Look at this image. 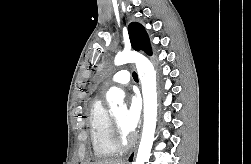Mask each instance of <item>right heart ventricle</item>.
Here are the masks:
<instances>
[{
  "instance_id": "e07e8e85",
  "label": "right heart ventricle",
  "mask_w": 251,
  "mask_h": 164,
  "mask_svg": "<svg viewBox=\"0 0 251 164\" xmlns=\"http://www.w3.org/2000/svg\"><path fill=\"white\" fill-rule=\"evenodd\" d=\"M88 124L95 155L99 158L116 155L119 148L114 141L111 117L100 98L91 103Z\"/></svg>"
}]
</instances>
